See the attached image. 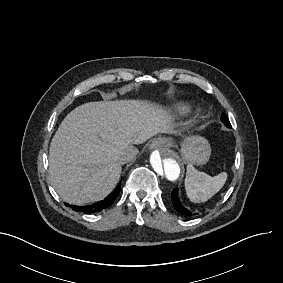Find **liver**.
<instances>
[{"label": "liver", "instance_id": "1", "mask_svg": "<svg viewBox=\"0 0 283 283\" xmlns=\"http://www.w3.org/2000/svg\"><path fill=\"white\" fill-rule=\"evenodd\" d=\"M174 118L146 100L89 102L61 122L49 149V173L58 195L70 204L104 199L119 181L116 158L128 146L158 133H176Z\"/></svg>", "mask_w": 283, "mask_h": 283}]
</instances>
